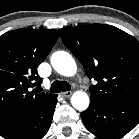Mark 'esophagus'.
Returning <instances> with one entry per match:
<instances>
[{
    "mask_svg": "<svg viewBox=\"0 0 139 139\" xmlns=\"http://www.w3.org/2000/svg\"><path fill=\"white\" fill-rule=\"evenodd\" d=\"M63 97L69 98L72 95L71 91L62 92Z\"/></svg>",
    "mask_w": 139,
    "mask_h": 139,
    "instance_id": "esophagus-1",
    "label": "esophagus"
}]
</instances>
